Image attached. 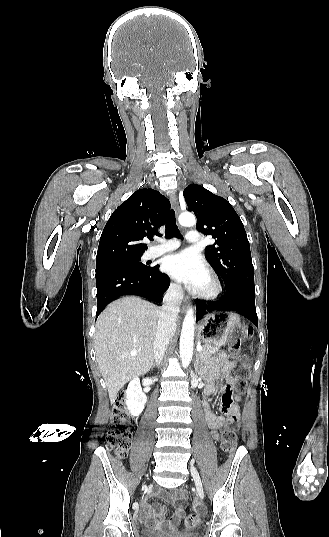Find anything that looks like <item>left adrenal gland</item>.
I'll return each mask as SVG.
<instances>
[{"label": "left adrenal gland", "mask_w": 329, "mask_h": 537, "mask_svg": "<svg viewBox=\"0 0 329 537\" xmlns=\"http://www.w3.org/2000/svg\"><path fill=\"white\" fill-rule=\"evenodd\" d=\"M198 365H199V358H198V354H197V355H196V361H195V364H194L196 373H197V371H198Z\"/></svg>", "instance_id": "a2214340"}]
</instances>
